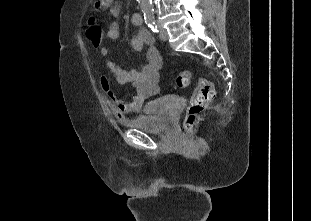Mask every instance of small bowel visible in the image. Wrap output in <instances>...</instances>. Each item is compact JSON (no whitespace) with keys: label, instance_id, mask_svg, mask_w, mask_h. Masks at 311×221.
<instances>
[{"label":"small bowel","instance_id":"small-bowel-1","mask_svg":"<svg viewBox=\"0 0 311 221\" xmlns=\"http://www.w3.org/2000/svg\"><path fill=\"white\" fill-rule=\"evenodd\" d=\"M120 13V4L111 5L110 14L112 17L116 18ZM131 21L135 27L140 28L143 19L140 14H133ZM119 35V25L116 21H112L108 26L106 37L109 40H116L119 38ZM131 46L137 52L141 51L143 46H147L146 62L138 68H124L116 64L113 60L107 58L109 50L105 46L99 50V54L105 58V68L111 73L117 83L120 85H130L133 90L129 100L122 99L118 97L112 88L109 78L105 75L101 77V87L106 93L110 107L118 118L141 112L145 100L159 91V72L163 65V57L154 45L153 38L148 31L139 29L132 38Z\"/></svg>","mask_w":311,"mask_h":221}]
</instances>
